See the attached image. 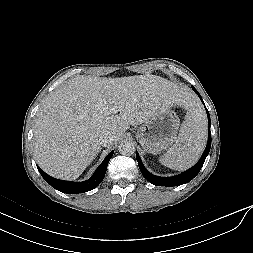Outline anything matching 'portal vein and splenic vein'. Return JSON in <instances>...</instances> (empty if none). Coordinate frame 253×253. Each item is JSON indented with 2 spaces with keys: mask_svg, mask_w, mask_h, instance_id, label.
I'll return each mask as SVG.
<instances>
[{
  "mask_svg": "<svg viewBox=\"0 0 253 253\" xmlns=\"http://www.w3.org/2000/svg\"><path fill=\"white\" fill-rule=\"evenodd\" d=\"M112 111H113V113H117L118 109L117 108H113Z\"/></svg>",
  "mask_w": 253,
  "mask_h": 253,
  "instance_id": "1",
  "label": "portal vein and splenic vein"
}]
</instances>
